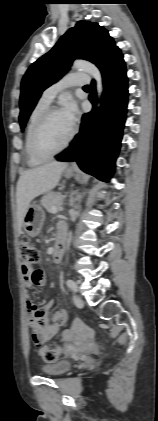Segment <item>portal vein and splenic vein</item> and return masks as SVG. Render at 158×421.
<instances>
[{"label": "portal vein and splenic vein", "instance_id": "1", "mask_svg": "<svg viewBox=\"0 0 158 421\" xmlns=\"http://www.w3.org/2000/svg\"><path fill=\"white\" fill-rule=\"evenodd\" d=\"M52 213H56V212H58V208L57 207H54L53 209H52V211H51Z\"/></svg>", "mask_w": 158, "mask_h": 421}]
</instances>
